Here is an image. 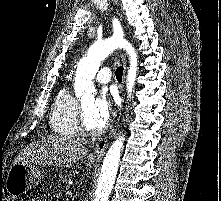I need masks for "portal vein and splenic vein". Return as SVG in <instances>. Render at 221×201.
I'll use <instances>...</instances> for the list:
<instances>
[{
    "label": "portal vein and splenic vein",
    "mask_w": 221,
    "mask_h": 201,
    "mask_svg": "<svg viewBox=\"0 0 221 201\" xmlns=\"http://www.w3.org/2000/svg\"><path fill=\"white\" fill-rule=\"evenodd\" d=\"M66 195L71 196L72 193H71L70 191H67V192H66Z\"/></svg>",
    "instance_id": "portal-vein-and-splenic-vein-1"
}]
</instances>
